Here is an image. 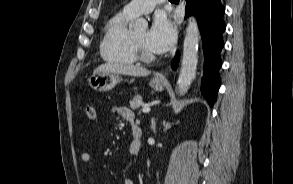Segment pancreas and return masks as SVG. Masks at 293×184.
Returning a JSON list of instances; mask_svg holds the SVG:
<instances>
[{"instance_id":"pancreas-1","label":"pancreas","mask_w":293,"mask_h":184,"mask_svg":"<svg viewBox=\"0 0 293 184\" xmlns=\"http://www.w3.org/2000/svg\"><path fill=\"white\" fill-rule=\"evenodd\" d=\"M142 106H144V103L140 95H136L133 100L130 101V107L133 110L139 109Z\"/></svg>"}]
</instances>
